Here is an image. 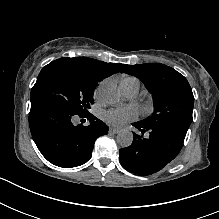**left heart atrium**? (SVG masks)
<instances>
[{
    "label": "left heart atrium",
    "instance_id": "left-heart-atrium-1",
    "mask_svg": "<svg viewBox=\"0 0 219 219\" xmlns=\"http://www.w3.org/2000/svg\"><path fill=\"white\" fill-rule=\"evenodd\" d=\"M137 117L138 112L133 107H128L124 109H114L108 111L105 114L106 120L116 127H123L129 122L136 120Z\"/></svg>",
    "mask_w": 219,
    "mask_h": 219
}]
</instances>
